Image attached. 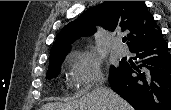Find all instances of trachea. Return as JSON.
Returning <instances> with one entry per match:
<instances>
[{
    "label": "trachea",
    "mask_w": 171,
    "mask_h": 110,
    "mask_svg": "<svg viewBox=\"0 0 171 110\" xmlns=\"http://www.w3.org/2000/svg\"><path fill=\"white\" fill-rule=\"evenodd\" d=\"M126 37L122 38V42L125 43L126 42Z\"/></svg>",
    "instance_id": "trachea-1"
}]
</instances>
